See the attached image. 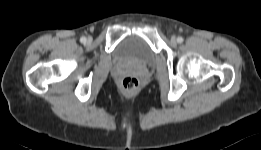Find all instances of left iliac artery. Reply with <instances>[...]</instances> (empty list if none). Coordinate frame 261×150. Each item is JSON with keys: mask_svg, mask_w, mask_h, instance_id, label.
Returning <instances> with one entry per match:
<instances>
[{"mask_svg": "<svg viewBox=\"0 0 261 150\" xmlns=\"http://www.w3.org/2000/svg\"><path fill=\"white\" fill-rule=\"evenodd\" d=\"M177 42H178V43H182V42H183V38H182V37H178V38H177Z\"/></svg>", "mask_w": 261, "mask_h": 150, "instance_id": "left-iliac-artery-1", "label": "left iliac artery"}]
</instances>
